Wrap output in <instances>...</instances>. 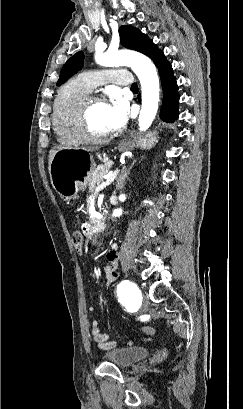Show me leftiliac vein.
Segmentation results:
<instances>
[{"mask_svg":"<svg viewBox=\"0 0 243 409\" xmlns=\"http://www.w3.org/2000/svg\"><path fill=\"white\" fill-rule=\"evenodd\" d=\"M142 306H143L144 309H147L148 301H147V298H146V297H143V298H142Z\"/></svg>","mask_w":243,"mask_h":409,"instance_id":"4c4485c4","label":"left iliac vein"}]
</instances>
